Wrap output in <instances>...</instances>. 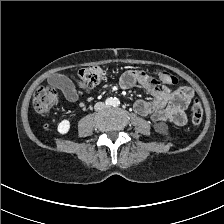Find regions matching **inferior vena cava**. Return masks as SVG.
<instances>
[{"instance_id": "1", "label": "inferior vena cava", "mask_w": 224, "mask_h": 224, "mask_svg": "<svg viewBox=\"0 0 224 224\" xmlns=\"http://www.w3.org/2000/svg\"><path fill=\"white\" fill-rule=\"evenodd\" d=\"M102 106H105V104L104 103H102V102H99V103H97L96 104V109H98V108H100V107H102Z\"/></svg>"}]
</instances>
